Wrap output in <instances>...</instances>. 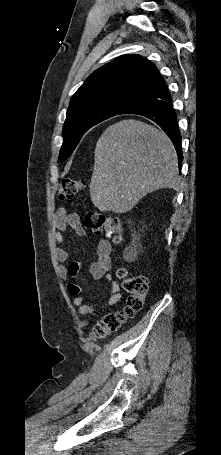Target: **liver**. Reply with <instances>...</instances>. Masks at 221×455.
Here are the masks:
<instances>
[{
	"mask_svg": "<svg viewBox=\"0 0 221 455\" xmlns=\"http://www.w3.org/2000/svg\"><path fill=\"white\" fill-rule=\"evenodd\" d=\"M89 187L96 208L117 214L130 211L147 193L177 189L178 158L171 140L133 119L109 126L96 144Z\"/></svg>",
	"mask_w": 221,
	"mask_h": 455,
	"instance_id": "liver-1",
	"label": "liver"
}]
</instances>
